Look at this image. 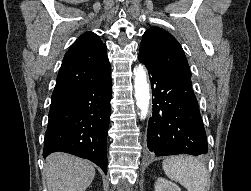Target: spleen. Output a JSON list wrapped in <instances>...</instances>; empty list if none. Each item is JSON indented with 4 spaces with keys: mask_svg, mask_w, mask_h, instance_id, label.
Listing matches in <instances>:
<instances>
[{
    "mask_svg": "<svg viewBox=\"0 0 251 191\" xmlns=\"http://www.w3.org/2000/svg\"><path fill=\"white\" fill-rule=\"evenodd\" d=\"M163 169L174 181H179L188 191H205L208 183L206 167L192 155H172L163 161Z\"/></svg>",
    "mask_w": 251,
    "mask_h": 191,
    "instance_id": "1",
    "label": "spleen"
}]
</instances>
